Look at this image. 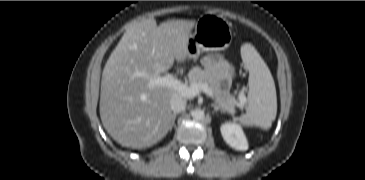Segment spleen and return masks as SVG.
I'll list each match as a JSON object with an SVG mask.
<instances>
[{
	"label": "spleen",
	"mask_w": 365,
	"mask_h": 180,
	"mask_svg": "<svg viewBox=\"0 0 365 180\" xmlns=\"http://www.w3.org/2000/svg\"><path fill=\"white\" fill-rule=\"evenodd\" d=\"M242 59L249 71V91L246 114L239 118L240 125L269 129L277 114V96L271 72L255 48L245 45Z\"/></svg>",
	"instance_id": "obj_1"
}]
</instances>
